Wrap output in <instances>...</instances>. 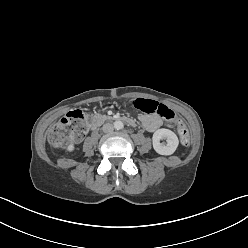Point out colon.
Here are the masks:
<instances>
[{
  "mask_svg": "<svg viewBox=\"0 0 248 248\" xmlns=\"http://www.w3.org/2000/svg\"><path fill=\"white\" fill-rule=\"evenodd\" d=\"M132 105L145 113L158 114L166 121L176 122L183 145L190 143L187 127L177 119L175 113L166 105L150 99L134 98ZM88 115L82 110H73L63 116L48 133V140L54 147H61L67 142L79 140L87 126Z\"/></svg>",
  "mask_w": 248,
  "mask_h": 248,
  "instance_id": "obj_1",
  "label": "colon"
}]
</instances>
